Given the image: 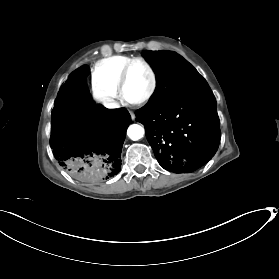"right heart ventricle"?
I'll return each mask as SVG.
<instances>
[{
	"label": "right heart ventricle",
	"mask_w": 279,
	"mask_h": 279,
	"mask_svg": "<svg viewBox=\"0 0 279 279\" xmlns=\"http://www.w3.org/2000/svg\"><path fill=\"white\" fill-rule=\"evenodd\" d=\"M129 56H110L97 61L91 68V82L105 87L118 95V78L124 65L131 60Z\"/></svg>",
	"instance_id": "1"
}]
</instances>
